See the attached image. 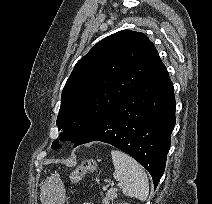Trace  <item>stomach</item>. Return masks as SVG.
<instances>
[{
	"label": "stomach",
	"instance_id": "0dacf381",
	"mask_svg": "<svg viewBox=\"0 0 212 204\" xmlns=\"http://www.w3.org/2000/svg\"><path fill=\"white\" fill-rule=\"evenodd\" d=\"M42 204H64L65 188L57 176L48 177L41 187Z\"/></svg>",
	"mask_w": 212,
	"mask_h": 204
}]
</instances>
